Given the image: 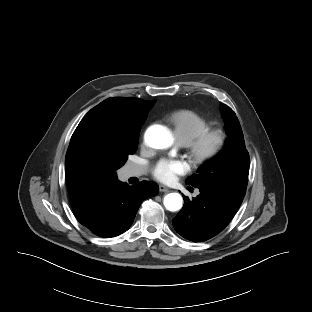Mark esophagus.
Instances as JSON below:
<instances>
[{"mask_svg": "<svg viewBox=\"0 0 312 312\" xmlns=\"http://www.w3.org/2000/svg\"><path fill=\"white\" fill-rule=\"evenodd\" d=\"M159 190L160 192H169V188L162 184L159 185Z\"/></svg>", "mask_w": 312, "mask_h": 312, "instance_id": "obj_1", "label": "esophagus"}]
</instances>
